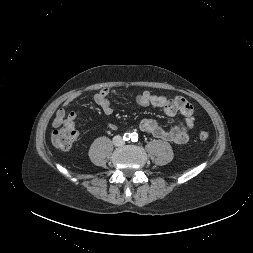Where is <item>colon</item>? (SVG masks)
<instances>
[{"label":"colon","mask_w":253,"mask_h":253,"mask_svg":"<svg viewBox=\"0 0 253 253\" xmlns=\"http://www.w3.org/2000/svg\"><path fill=\"white\" fill-rule=\"evenodd\" d=\"M208 138L209 133L207 131L200 132L199 139L201 141H206ZM51 140L55 147L67 150L72 146L75 140V133L69 126L63 125L62 127L53 131Z\"/></svg>","instance_id":"5ec220e1"}]
</instances>
